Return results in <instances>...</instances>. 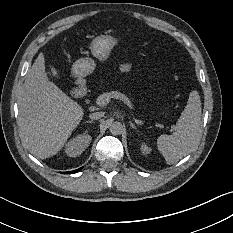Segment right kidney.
I'll return each mask as SVG.
<instances>
[{
    "mask_svg": "<svg viewBox=\"0 0 233 233\" xmlns=\"http://www.w3.org/2000/svg\"><path fill=\"white\" fill-rule=\"evenodd\" d=\"M92 136L86 133H78L73 138L65 141L63 146V153L71 158L82 154L91 143Z\"/></svg>",
    "mask_w": 233,
    "mask_h": 233,
    "instance_id": "1",
    "label": "right kidney"
}]
</instances>
